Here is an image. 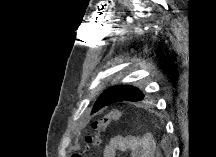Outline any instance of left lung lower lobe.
Returning <instances> with one entry per match:
<instances>
[{
  "instance_id": "obj_1",
  "label": "left lung lower lobe",
  "mask_w": 216,
  "mask_h": 157,
  "mask_svg": "<svg viewBox=\"0 0 216 157\" xmlns=\"http://www.w3.org/2000/svg\"><path fill=\"white\" fill-rule=\"evenodd\" d=\"M96 104H97V103H95L94 106H95ZM94 106H93V107H94ZM100 109H101V108H99V106H97L96 109H95V112L99 111ZM95 112H94V113H95ZM92 113H93V112H92Z\"/></svg>"
}]
</instances>
